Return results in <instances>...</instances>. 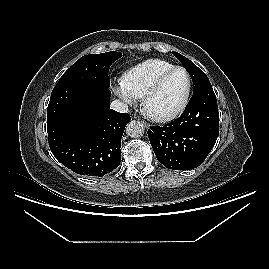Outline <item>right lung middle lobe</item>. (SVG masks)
Segmentation results:
<instances>
[{
	"label": "right lung middle lobe",
	"mask_w": 269,
	"mask_h": 269,
	"mask_svg": "<svg viewBox=\"0 0 269 269\" xmlns=\"http://www.w3.org/2000/svg\"><path fill=\"white\" fill-rule=\"evenodd\" d=\"M122 55L119 52L89 54L78 59L59 79L57 85L65 83L93 84L109 88L108 72L113 62Z\"/></svg>",
	"instance_id": "right-lung-middle-lobe-1"
}]
</instances>
